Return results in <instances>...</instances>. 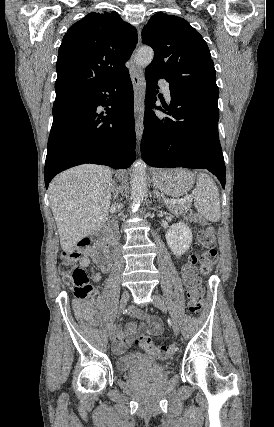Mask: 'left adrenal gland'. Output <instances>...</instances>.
<instances>
[{
    "label": "left adrenal gland",
    "instance_id": "left-adrenal-gland-1",
    "mask_svg": "<svg viewBox=\"0 0 274 427\" xmlns=\"http://www.w3.org/2000/svg\"><path fill=\"white\" fill-rule=\"evenodd\" d=\"M153 196H154V198H157V200H158V202H160V204H163V202H162L163 196H160V192H158V190H156V188H154V190H153Z\"/></svg>",
    "mask_w": 274,
    "mask_h": 427
}]
</instances>
